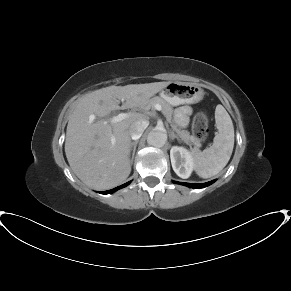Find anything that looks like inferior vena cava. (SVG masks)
<instances>
[{
	"label": "inferior vena cava",
	"mask_w": 291,
	"mask_h": 291,
	"mask_svg": "<svg viewBox=\"0 0 291 291\" xmlns=\"http://www.w3.org/2000/svg\"><path fill=\"white\" fill-rule=\"evenodd\" d=\"M149 121L147 120H138L132 123L129 127V134L133 140L139 139L144 130L148 127Z\"/></svg>",
	"instance_id": "obj_1"
}]
</instances>
